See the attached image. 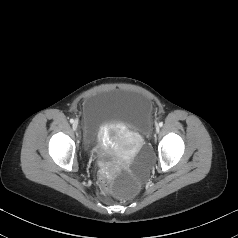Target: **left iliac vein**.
Returning a JSON list of instances; mask_svg holds the SVG:
<instances>
[{
  "mask_svg": "<svg viewBox=\"0 0 238 238\" xmlns=\"http://www.w3.org/2000/svg\"><path fill=\"white\" fill-rule=\"evenodd\" d=\"M159 131H160L159 126H156V132L159 133Z\"/></svg>",
  "mask_w": 238,
  "mask_h": 238,
  "instance_id": "obj_1",
  "label": "left iliac vein"
}]
</instances>
